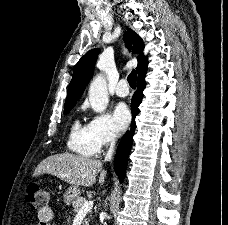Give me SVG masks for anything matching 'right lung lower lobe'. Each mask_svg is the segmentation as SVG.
Returning <instances> with one entry per match:
<instances>
[{"label": "right lung lower lobe", "mask_w": 228, "mask_h": 225, "mask_svg": "<svg viewBox=\"0 0 228 225\" xmlns=\"http://www.w3.org/2000/svg\"><path fill=\"white\" fill-rule=\"evenodd\" d=\"M147 71V64L143 66L138 73L137 90L132 97L131 111H132V124L131 130L128 131L122 138L118 145L117 152L114 160V170L122 183L125 177L128 156L131 150L133 135L135 131V117L139 113L138 106L143 98V90L145 88V75Z\"/></svg>", "instance_id": "obj_1"}]
</instances>
